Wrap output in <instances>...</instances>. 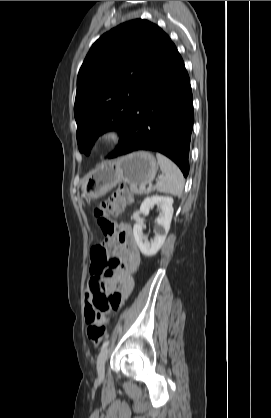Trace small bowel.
Instances as JSON below:
<instances>
[{"mask_svg": "<svg viewBox=\"0 0 271 418\" xmlns=\"http://www.w3.org/2000/svg\"><path fill=\"white\" fill-rule=\"evenodd\" d=\"M118 241L119 246L115 249L114 254L119 259L120 265L113 274L100 283L102 292L108 296L110 301L107 310H118L131 295L135 285L133 274L140 264V251L129 225H121ZM94 297L95 284L91 278L86 292L85 311L93 307ZM115 299L119 300L118 304L113 303Z\"/></svg>", "mask_w": 271, "mask_h": 418, "instance_id": "small-bowel-1", "label": "small bowel"}]
</instances>
